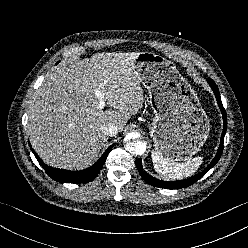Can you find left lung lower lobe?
I'll list each match as a JSON object with an SVG mask.
<instances>
[{
    "instance_id": "left-lung-lower-lobe-1",
    "label": "left lung lower lobe",
    "mask_w": 248,
    "mask_h": 248,
    "mask_svg": "<svg viewBox=\"0 0 248 248\" xmlns=\"http://www.w3.org/2000/svg\"><path fill=\"white\" fill-rule=\"evenodd\" d=\"M207 82L209 83L211 89L213 90L218 106L220 107L221 113H222V117H223V123H224V127H223V132L221 135V141H220V145L217 151V154L215 156V158L212 160V162L206 167V169L190 178L184 179V180H178V181H173V182H166V181H162V180H158L154 177H152L151 175H149L146 171L143 170L142 164H141V159H137L135 161V164L138 168V171L140 173V175L142 176V178L144 179V181H146L147 183H149L152 186L155 187H160V188H165V189H180V188H186L192 184H194L198 179H200L202 176H204L209 169L213 168L216 163L219 161L221 155H222V151H223V140H224V136L226 133V129H227V114L226 111L222 105L221 102V97H220V93H219V89L217 87V85L214 83V81L210 78L207 79Z\"/></svg>"
}]
</instances>
